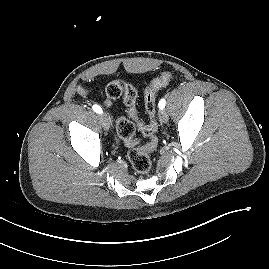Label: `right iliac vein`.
<instances>
[{
  "label": "right iliac vein",
  "instance_id": "1",
  "mask_svg": "<svg viewBox=\"0 0 269 269\" xmlns=\"http://www.w3.org/2000/svg\"><path fill=\"white\" fill-rule=\"evenodd\" d=\"M100 121L102 123V126L105 130H109L110 129V126H111V123H110V119L109 117L107 116V114H102L100 116Z\"/></svg>",
  "mask_w": 269,
  "mask_h": 269
}]
</instances>
